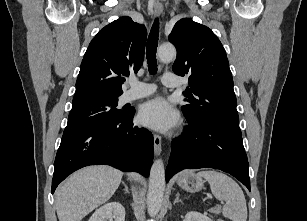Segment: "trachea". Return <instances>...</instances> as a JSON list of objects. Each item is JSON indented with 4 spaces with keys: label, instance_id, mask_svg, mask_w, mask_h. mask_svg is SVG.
Returning <instances> with one entry per match:
<instances>
[{
    "label": "trachea",
    "instance_id": "3493384b",
    "mask_svg": "<svg viewBox=\"0 0 307 221\" xmlns=\"http://www.w3.org/2000/svg\"><path fill=\"white\" fill-rule=\"evenodd\" d=\"M158 37H159V20L156 19L152 25L146 46L148 69L151 74H154L157 71L156 51L158 46Z\"/></svg>",
    "mask_w": 307,
    "mask_h": 221
}]
</instances>
